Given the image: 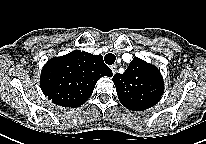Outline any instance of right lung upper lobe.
I'll use <instances>...</instances> for the list:
<instances>
[{
  "mask_svg": "<svg viewBox=\"0 0 206 144\" xmlns=\"http://www.w3.org/2000/svg\"><path fill=\"white\" fill-rule=\"evenodd\" d=\"M112 75L101 55L75 50L50 59L42 69L40 85L54 104L78 107L92 95L101 77Z\"/></svg>",
  "mask_w": 206,
  "mask_h": 144,
  "instance_id": "obj_1",
  "label": "right lung upper lobe"
}]
</instances>
